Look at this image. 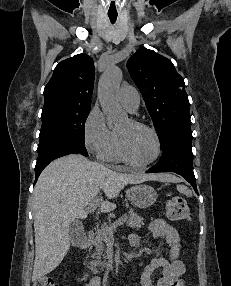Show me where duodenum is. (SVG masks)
<instances>
[{
    "mask_svg": "<svg viewBox=\"0 0 231 286\" xmlns=\"http://www.w3.org/2000/svg\"><path fill=\"white\" fill-rule=\"evenodd\" d=\"M93 233L92 232H86L83 236H81L75 243L76 247L79 250L87 249L92 241ZM84 276L87 278L88 274L84 273Z\"/></svg>",
    "mask_w": 231,
    "mask_h": 286,
    "instance_id": "duodenum-1",
    "label": "duodenum"
}]
</instances>
